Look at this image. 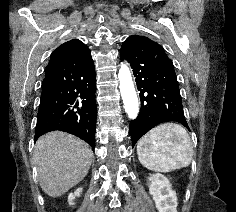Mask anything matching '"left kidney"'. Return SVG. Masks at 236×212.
I'll use <instances>...</instances> for the list:
<instances>
[{"instance_id": "obj_1", "label": "left kidney", "mask_w": 236, "mask_h": 212, "mask_svg": "<svg viewBox=\"0 0 236 212\" xmlns=\"http://www.w3.org/2000/svg\"><path fill=\"white\" fill-rule=\"evenodd\" d=\"M149 192L159 212H177V196L170 181L162 174H150Z\"/></svg>"}]
</instances>
